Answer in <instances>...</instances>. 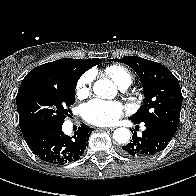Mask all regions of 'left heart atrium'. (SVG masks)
Segmentation results:
<instances>
[{
  "instance_id": "left-heart-atrium-1",
  "label": "left heart atrium",
  "mask_w": 196,
  "mask_h": 196,
  "mask_svg": "<svg viewBox=\"0 0 196 196\" xmlns=\"http://www.w3.org/2000/svg\"><path fill=\"white\" fill-rule=\"evenodd\" d=\"M125 107L118 101L94 99L82 107L83 118L93 125L107 126L115 123Z\"/></svg>"
}]
</instances>
